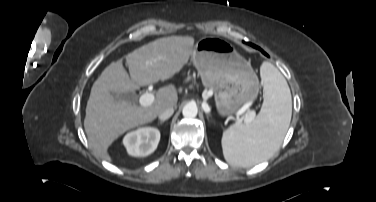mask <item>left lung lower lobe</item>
<instances>
[{
  "instance_id": "1",
  "label": "left lung lower lobe",
  "mask_w": 376,
  "mask_h": 202,
  "mask_svg": "<svg viewBox=\"0 0 376 202\" xmlns=\"http://www.w3.org/2000/svg\"><path fill=\"white\" fill-rule=\"evenodd\" d=\"M250 45L253 46V47L256 48V49H259L262 53H264V51H263L260 47L254 45V44H251V43H250Z\"/></svg>"
}]
</instances>
